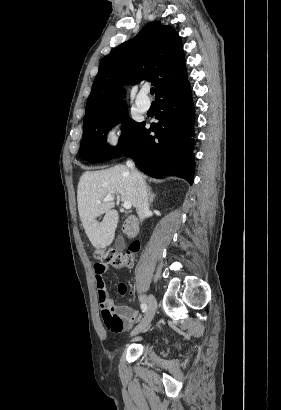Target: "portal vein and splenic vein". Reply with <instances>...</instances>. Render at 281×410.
<instances>
[{"label":"portal vein and splenic vein","instance_id":"1","mask_svg":"<svg viewBox=\"0 0 281 410\" xmlns=\"http://www.w3.org/2000/svg\"><path fill=\"white\" fill-rule=\"evenodd\" d=\"M115 200V197H113V196H107V197H105L102 201H97L98 203H101V202H108V201H114ZM123 207L126 209V210H128V209H130L131 207H132V204H131V202H129V201H125L124 203H123Z\"/></svg>","mask_w":281,"mask_h":410}]
</instances>
